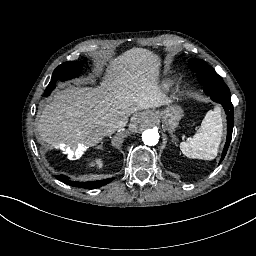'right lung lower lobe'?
Wrapping results in <instances>:
<instances>
[{
    "instance_id": "right-lung-lower-lobe-1",
    "label": "right lung lower lobe",
    "mask_w": 256,
    "mask_h": 256,
    "mask_svg": "<svg viewBox=\"0 0 256 256\" xmlns=\"http://www.w3.org/2000/svg\"><path fill=\"white\" fill-rule=\"evenodd\" d=\"M55 177L67 185L74 186V187L86 188V189H95V188L101 187L113 180V178H109V179H104V180H100V181H92V182H89V181H87V182L75 181L74 182V181L69 180L68 177L65 175H60V176H55Z\"/></svg>"
}]
</instances>
